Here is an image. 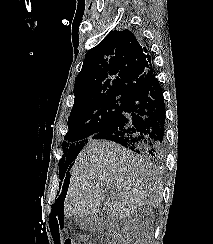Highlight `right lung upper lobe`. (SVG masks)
I'll list each match as a JSON object with an SVG mask.
<instances>
[{"label":"right lung upper lobe","instance_id":"obj_1","mask_svg":"<svg viewBox=\"0 0 213 244\" xmlns=\"http://www.w3.org/2000/svg\"><path fill=\"white\" fill-rule=\"evenodd\" d=\"M153 74L143 40L129 29L111 31L85 55L75 80L73 108L103 96L131 98Z\"/></svg>","mask_w":213,"mask_h":244}]
</instances>
